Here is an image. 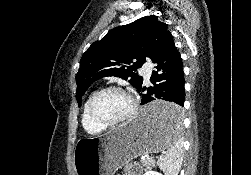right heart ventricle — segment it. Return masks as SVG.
<instances>
[{"label":"right heart ventricle","mask_w":251,"mask_h":175,"mask_svg":"<svg viewBox=\"0 0 251 175\" xmlns=\"http://www.w3.org/2000/svg\"><path fill=\"white\" fill-rule=\"evenodd\" d=\"M96 93V91L92 92L86 99L84 106H83V110H82V126L83 129L91 135H99L101 133H103L105 131L106 128H104L101 125H98L96 123H94L90 117H89V113H88V106L90 103V100L92 99L93 95Z\"/></svg>","instance_id":"1"}]
</instances>
